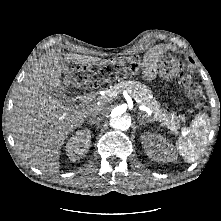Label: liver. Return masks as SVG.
<instances>
[{"label": "liver", "instance_id": "1", "mask_svg": "<svg viewBox=\"0 0 221 221\" xmlns=\"http://www.w3.org/2000/svg\"><path fill=\"white\" fill-rule=\"evenodd\" d=\"M101 59L51 50L39 58L18 86L10 118V129L19 155L44 172L59 171L60 149L68 136L82 125L94 108L107 111L103 103L94 108L75 109L51 93L63 95L68 84L69 63L94 64Z\"/></svg>", "mask_w": 221, "mask_h": 221}]
</instances>
